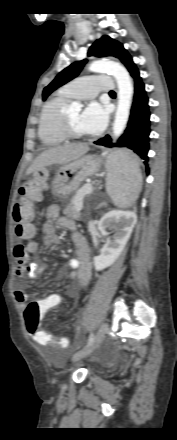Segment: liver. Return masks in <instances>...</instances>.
<instances>
[{
    "instance_id": "1",
    "label": "liver",
    "mask_w": 177,
    "mask_h": 440,
    "mask_svg": "<svg viewBox=\"0 0 177 440\" xmlns=\"http://www.w3.org/2000/svg\"><path fill=\"white\" fill-rule=\"evenodd\" d=\"M90 150L89 146L84 143L70 144L64 146H58L50 148L42 152L27 169L26 174L29 175L35 172L37 169L53 165V164H67L74 160L79 159L85 153ZM121 165V159L118 158L114 161L111 167H118Z\"/></svg>"
}]
</instances>
